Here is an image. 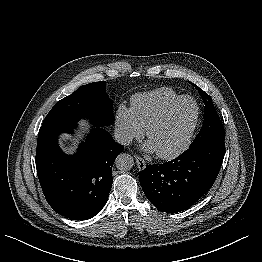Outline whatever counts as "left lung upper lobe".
<instances>
[{
	"mask_svg": "<svg viewBox=\"0 0 262 262\" xmlns=\"http://www.w3.org/2000/svg\"><path fill=\"white\" fill-rule=\"evenodd\" d=\"M190 84L197 88L205 103L203 125L190 147L204 144L207 142H224V128L214 108L211 97L206 92L197 87L195 84L191 82Z\"/></svg>",
	"mask_w": 262,
	"mask_h": 262,
	"instance_id": "5c2ea615",
	"label": "left lung upper lobe"
}]
</instances>
